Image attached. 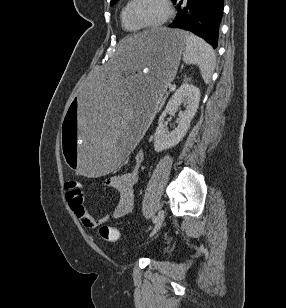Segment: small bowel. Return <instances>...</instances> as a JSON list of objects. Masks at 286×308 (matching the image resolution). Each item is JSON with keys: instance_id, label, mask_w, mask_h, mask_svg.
Listing matches in <instances>:
<instances>
[{"instance_id": "1", "label": "small bowel", "mask_w": 286, "mask_h": 308, "mask_svg": "<svg viewBox=\"0 0 286 308\" xmlns=\"http://www.w3.org/2000/svg\"><path fill=\"white\" fill-rule=\"evenodd\" d=\"M144 160V152L138 151L134 156V165L131 170L109 177L106 185L119 191L120 196L114 210L101 218L92 217L83 203V195L78 190H66L65 198L71 210L87 229H96L102 224L127 215L132 211L134 203V186L138 179L140 166Z\"/></svg>"}]
</instances>
